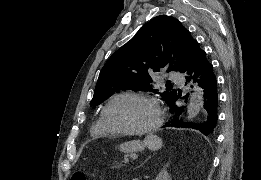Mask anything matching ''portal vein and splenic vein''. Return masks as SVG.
Listing matches in <instances>:
<instances>
[{
  "label": "portal vein and splenic vein",
  "mask_w": 261,
  "mask_h": 180,
  "mask_svg": "<svg viewBox=\"0 0 261 180\" xmlns=\"http://www.w3.org/2000/svg\"><path fill=\"white\" fill-rule=\"evenodd\" d=\"M122 162L124 163V165H129V158H123Z\"/></svg>",
  "instance_id": "1"
}]
</instances>
